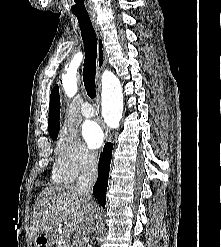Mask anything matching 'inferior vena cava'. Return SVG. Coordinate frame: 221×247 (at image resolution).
<instances>
[{"label":"inferior vena cava","instance_id":"inferior-vena-cava-1","mask_svg":"<svg viewBox=\"0 0 221 247\" xmlns=\"http://www.w3.org/2000/svg\"><path fill=\"white\" fill-rule=\"evenodd\" d=\"M98 175V164H97V155L94 153L88 152L86 154L83 169L81 175L76 184V191L81 197L87 208L86 220L89 224V231L92 232V225L94 224V211H93V201L91 200L92 187L97 179ZM89 234L83 233L80 236L76 237V240L73 243L74 247H86L87 243L81 238Z\"/></svg>","mask_w":221,"mask_h":247}]
</instances>
